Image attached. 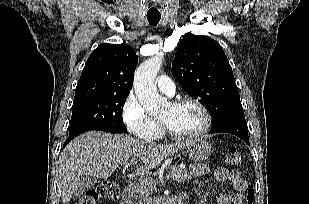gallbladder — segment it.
Here are the masks:
<instances>
[{
	"label": "gallbladder",
	"mask_w": 309,
	"mask_h": 204,
	"mask_svg": "<svg viewBox=\"0 0 309 204\" xmlns=\"http://www.w3.org/2000/svg\"><path fill=\"white\" fill-rule=\"evenodd\" d=\"M95 182L96 179L90 176L81 177L76 183L74 197H79L83 192L89 190Z\"/></svg>",
	"instance_id": "bac80fb5"
}]
</instances>
